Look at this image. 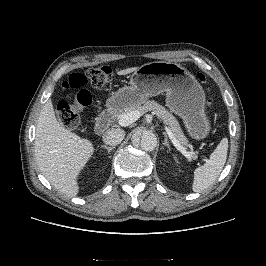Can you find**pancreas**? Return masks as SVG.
I'll use <instances>...</instances> for the list:
<instances>
[{
  "mask_svg": "<svg viewBox=\"0 0 266 266\" xmlns=\"http://www.w3.org/2000/svg\"><path fill=\"white\" fill-rule=\"evenodd\" d=\"M131 111H139L140 114H144L148 111L156 114L164 123L170 128L177 140L182 146L188 145V140L185 137L177 119L162 105L155 101H146L143 105L131 106L123 109L120 113H117L115 117L120 119L123 115L130 113Z\"/></svg>",
  "mask_w": 266,
  "mask_h": 266,
  "instance_id": "cf45deb5",
  "label": "pancreas"
}]
</instances>
